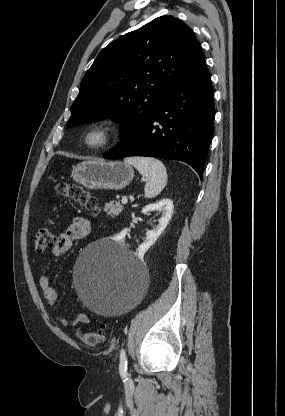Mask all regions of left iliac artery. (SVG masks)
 Segmentation results:
<instances>
[{"label":"left iliac artery","mask_w":285,"mask_h":416,"mask_svg":"<svg viewBox=\"0 0 285 416\" xmlns=\"http://www.w3.org/2000/svg\"><path fill=\"white\" fill-rule=\"evenodd\" d=\"M119 372L121 377L126 380L127 379V357L125 350L122 349L120 352V364H119Z\"/></svg>","instance_id":"44dca946"}]
</instances>
